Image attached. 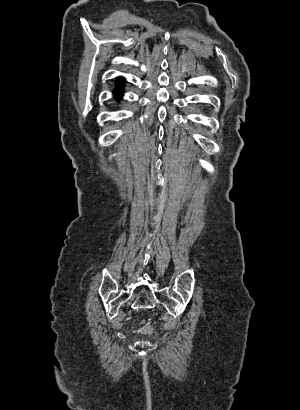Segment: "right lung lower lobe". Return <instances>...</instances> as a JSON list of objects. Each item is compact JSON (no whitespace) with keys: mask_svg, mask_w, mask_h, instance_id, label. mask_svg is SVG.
I'll list each match as a JSON object with an SVG mask.
<instances>
[{"mask_svg":"<svg viewBox=\"0 0 300 410\" xmlns=\"http://www.w3.org/2000/svg\"><path fill=\"white\" fill-rule=\"evenodd\" d=\"M126 81L123 79H116L114 81V89L112 91L113 93V100L118 103L122 99V94L124 92V87H125Z\"/></svg>","mask_w":300,"mask_h":410,"instance_id":"obj_1","label":"right lung lower lobe"}]
</instances>
